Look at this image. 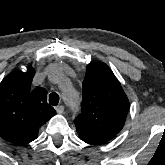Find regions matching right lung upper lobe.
<instances>
[{
    "label": "right lung upper lobe",
    "mask_w": 165,
    "mask_h": 165,
    "mask_svg": "<svg viewBox=\"0 0 165 165\" xmlns=\"http://www.w3.org/2000/svg\"><path fill=\"white\" fill-rule=\"evenodd\" d=\"M35 70H15L0 84V136L15 145L35 140L38 128L56 114L44 88L30 90Z\"/></svg>",
    "instance_id": "right-lung-upper-lobe-1"
}]
</instances>
